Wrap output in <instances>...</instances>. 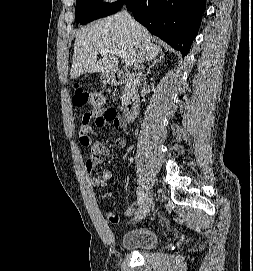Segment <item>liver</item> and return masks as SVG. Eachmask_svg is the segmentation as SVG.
Here are the masks:
<instances>
[{
  "label": "liver",
  "mask_w": 253,
  "mask_h": 271,
  "mask_svg": "<svg viewBox=\"0 0 253 271\" xmlns=\"http://www.w3.org/2000/svg\"><path fill=\"white\" fill-rule=\"evenodd\" d=\"M136 24L132 27L130 21L118 13L80 29L74 44L71 78L85 72L113 73L118 66V59L111 52L115 49L126 52L133 61L134 70L139 69L143 61L149 63L156 59L162 49L151 42L147 29ZM102 49H109V52L98 59Z\"/></svg>",
  "instance_id": "obj_1"
}]
</instances>
